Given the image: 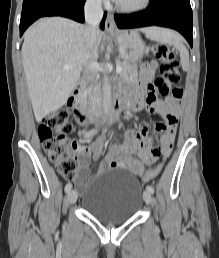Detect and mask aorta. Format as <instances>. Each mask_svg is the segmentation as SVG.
I'll return each mask as SVG.
<instances>
[{"label":"aorta","instance_id":"1","mask_svg":"<svg viewBox=\"0 0 219 258\" xmlns=\"http://www.w3.org/2000/svg\"><path fill=\"white\" fill-rule=\"evenodd\" d=\"M111 99H112V93H111V85L109 82V78L107 75L104 76V82H103V109L104 114H109L111 110Z\"/></svg>","mask_w":219,"mask_h":258}]
</instances>
